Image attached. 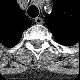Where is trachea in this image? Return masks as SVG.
<instances>
[{
	"label": "trachea",
	"mask_w": 80,
	"mask_h": 80,
	"mask_svg": "<svg viewBox=\"0 0 80 80\" xmlns=\"http://www.w3.org/2000/svg\"><path fill=\"white\" fill-rule=\"evenodd\" d=\"M27 13H28V15H29L30 17H33V18H34V17H37V16H38L39 10H38V8H37L36 6L32 5V6H30V7L28 8Z\"/></svg>",
	"instance_id": "trachea-1"
}]
</instances>
